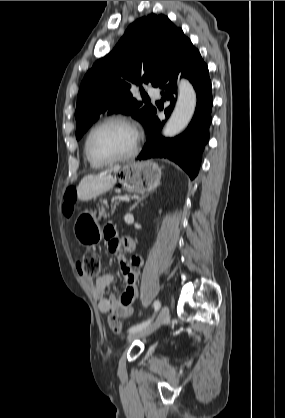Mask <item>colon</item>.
<instances>
[{
	"label": "colon",
	"instance_id": "obj_1",
	"mask_svg": "<svg viewBox=\"0 0 285 418\" xmlns=\"http://www.w3.org/2000/svg\"><path fill=\"white\" fill-rule=\"evenodd\" d=\"M63 214L70 219L74 212V199L72 189H67L64 195V204L62 207ZM77 268L80 274L86 278L96 277L101 270L100 260L95 253H86L77 260ZM109 329L119 333L122 331V325L117 317L113 314L109 316Z\"/></svg>",
	"mask_w": 285,
	"mask_h": 418
}]
</instances>
